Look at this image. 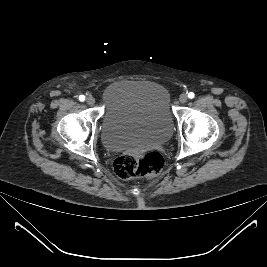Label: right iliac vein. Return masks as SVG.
Returning <instances> with one entry per match:
<instances>
[{
	"label": "right iliac vein",
	"instance_id": "63e3f726",
	"mask_svg": "<svg viewBox=\"0 0 267 267\" xmlns=\"http://www.w3.org/2000/svg\"><path fill=\"white\" fill-rule=\"evenodd\" d=\"M86 102L88 105L92 106L95 103V99L92 96L87 97Z\"/></svg>",
	"mask_w": 267,
	"mask_h": 267
}]
</instances>
